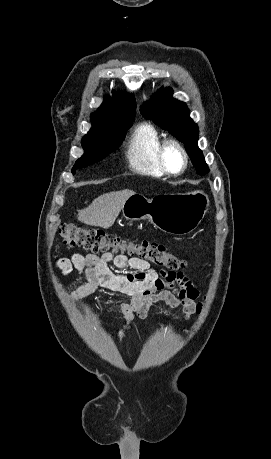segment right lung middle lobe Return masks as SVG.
I'll use <instances>...</instances> for the list:
<instances>
[{
  "label": "right lung middle lobe",
  "instance_id": "right-lung-middle-lobe-1",
  "mask_svg": "<svg viewBox=\"0 0 271 459\" xmlns=\"http://www.w3.org/2000/svg\"><path fill=\"white\" fill-rule=\"evenodd\" d=\"M133 120H110L92 123L90 131L82 138L84 154L72 169L75 170L93 164L121 145L126 131Z\"/></svg>",
  "mask_w": 271,
  "mask_h": 459
}]
</instances>
